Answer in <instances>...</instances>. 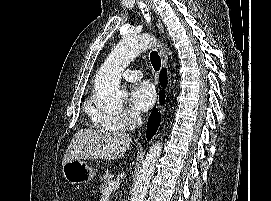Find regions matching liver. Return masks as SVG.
Returning <instances> with one entry per match:
<instances>
[{
    "label": "liver",
    "instance_id": "liver-1",
    "mask_svg": "<svg viewBox=\"0 0 271 201\" xmlns=\"http://www.w3.org/2000/svg\"><path fill=\"white\" fill-rule=\"evenodd\" d=\"M132 139L125 132L81 129L74 134L62 165L73 160H114L129 148Z\"/></svg>",
    "mask_w": 271,
    "mask_h": 201
}]
</instances>
